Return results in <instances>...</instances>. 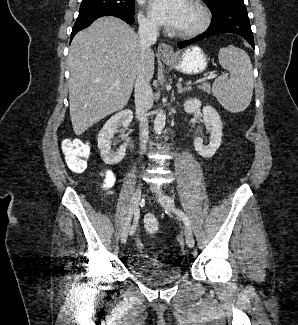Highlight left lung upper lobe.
<instances>
[{"label": "left lung upper lobe", "instance_id": "5c2ea615", "mask_svg": "<svg viewBox=\"0 0 298 325\" xmlns=\"http://www.w3.org/2000/svg\"><path fill=\"white\" fill-rule=\"evenodd\" d=\"M212 9L213 15L220 12L222 9L237 3H244L243 0H204Z\"/></svg>", "mask_w": 298, "mask_h": 325}]
</instances>
